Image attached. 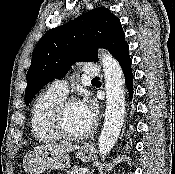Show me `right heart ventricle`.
Returning <instances> with one entry per match:
<instances>
[{
	"mask_svg": "<svg viewBox=\"0 0 175 174\" xmlns=\"http://www.w3.org/2000/svg\"><path fill=\"white\" fill-rule=\"evenodd\" d=\"M63 99V96L48 89L35 100L30 123L31 131L39 142H56L60 139L52 128L51 115L55 106Z\"/></svg>",
	"mask_w": 175,
	"mask_h": 174,
	"instance_id": "1",
	"label": "right heart ventricle"
}]
</instances>
